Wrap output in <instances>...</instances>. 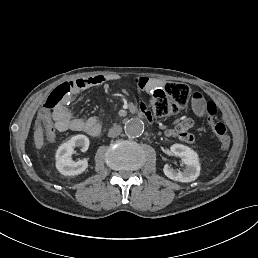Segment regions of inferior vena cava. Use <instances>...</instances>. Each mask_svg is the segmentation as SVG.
Masks as SVG:
<instances>
[{
    "instance_id": "obj_1",
    "label": "inferior vena cava",
    "mask_w": 258,
    "mask_h": 258,
    "mask_svg": "<svg viewBox=\"0 0 258 258\" xmlns=\"http://www.w3.org/2000/svg\"><path fill=\"white\" fill-rule=\"evenodd\" d=\"M122 127L120 125H115L109 129L108 136L109 137H117L121 134Z\"/></svg>"
}]
</instances>
